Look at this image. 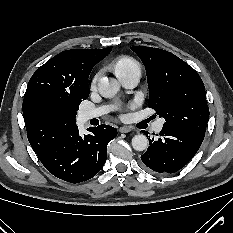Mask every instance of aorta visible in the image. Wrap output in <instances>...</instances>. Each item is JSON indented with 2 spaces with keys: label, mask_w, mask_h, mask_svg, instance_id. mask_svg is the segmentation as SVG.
<instances>
[{
  "label": "aorta",
  "mask_w": 233,
  "mask_h": 233,
  "mask_svg": "<svg viewBox=\"0 0 233 233\" xmlns=\"http://www.w3.org/2000/svg\"><path fill=\"white\" fill-rule=\"evenodd\" d=\"M100 94L105 98H111L117 94L120 89L119 82L115 79L102 77L98 83ZM132 147L136 151H144L148 147V138L143 134L135 135L132 138Z\"/></svg>",
  "instance_id": "obj_1"
}]
</instances>
